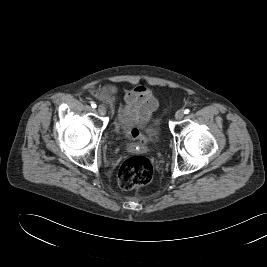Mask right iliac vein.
<instances>
[{
  "label": "right iliac vein",
  "mask_w": 267,
  "mask_h": 267,
  "mask_svg": "<svg viewBox=\"0 0 267 267\" xmlns=\"http://www.w3.org/2000/svg\"><path fill=\"white\" fill-rule=\"evenodd\" d=\"M97 110H98V113L100 115H105L106 114V108L104 106H102V105L98 106Z\"/></svg>",
  "instance_id": "63e3f726"
}]
</instances>
